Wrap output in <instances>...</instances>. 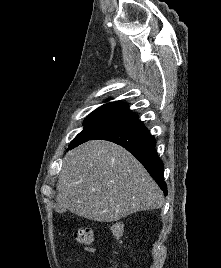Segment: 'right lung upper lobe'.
Returning a JSON list of instances; mask_svg holds the SVG:
<instances>
[{"label": "right lung upper lobe", "mask_w": 221, "mask_h": 268, "mask_svg": "<svg viewBox=\"0 0 221 268\" xmlns=\"http://www.w3.org/2000/svg\"><path fill=\"white\" fill-rule=\"evenodd\" d=\"M95 111L106 112V113H110L116 116L123 117L125 118L126 122H130V121L138 119L137 115H135L134 113H131L128 105L123 104V103H116V102L107 103L97 108Z\"/></svg>", "instance_id": "1"}]
</instances>
